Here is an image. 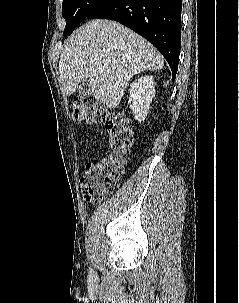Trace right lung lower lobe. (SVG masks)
I'll return each instance as SVG.
<instances>
[{"instance_id":"obj_1","label":"right lung lower lobe","mask_w":239,"mask_h":303,"mask_svg":"<svg viewBox=\"0 0 239 303\" xmlns=\"http://www.w3.org/2000/svg\"><path fill=\"white\" fill-rule=\"evenodd\" d=\"M182 0H106L86 18L111 19L150 41L165 57L175 79L181 47Z\"/></svg>"}]
</instances>
